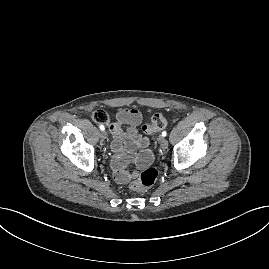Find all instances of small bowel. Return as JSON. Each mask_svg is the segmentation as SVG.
<instances>
[{
	"label": "small bowel",
	"instance_id": "obj_1",
	"mask_svg": "<svg viewBox=\"0 0 269 269\" xmlns=\"http://www.w3.org/2000/svg\"><path fill=\"white\" fill-rule=\"evenodd\" d=\"M141 122L142 115L137 109H121L116 113V121L110 125L114 153L111 165L115 180L120 184H126L138 175L136 170L127 169L129 164L141 169L152 162L149 140L138 132ZM124 126L127 128L124 129ZM137 149L142 151L135 154Z\"/></svg>",
	"mask_w": 269,
	"mask_h": 269
}]
</instances>
